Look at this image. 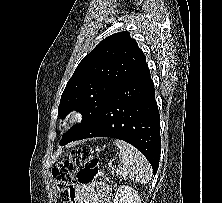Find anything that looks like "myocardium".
Here are the masks:
<instances>
[{"label":"myocardium","instance_id":"myocardium-1","mask_svg":"<svg viewBox=\"0 0 222 203\" xmlns=\"http://www.w3.org/2000/svg\"><path fill=\"white\" fill-rule=\"evenodd\" d=\"M85 118V114L82 110L74 109L68 112L63 120V124L67 128H72L78 125Z\"/></svg>","mask_w":222,"mask_h":203}]
</instances>
